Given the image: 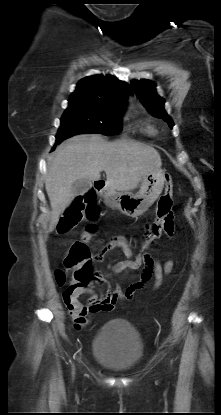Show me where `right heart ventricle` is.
Here are the masks:
<instances>
[{"label": "right heart ventricle", "instance_id": "obj_1", "mask_svg": "<svg viewBox=\"0 0 221 415\" xmlns=\"http://www.w3.org/2000/svg\"><path fill=\"white\" fill-rule=\"evenodd\" d=\"M149 131H152V129H151V128H149Z\"/></svg>", "mask_w": 221, "mask_h": 415}]
</instances>
